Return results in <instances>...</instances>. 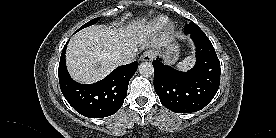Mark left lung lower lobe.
I'll return each instance as SVG.
<instances>
[{
	"instance_id": "1",
	"label": "left lung lower lobe",
	"mask_w": 276,
	"mask_h": 138,
	"mask_svg": "<svg viewBox=\"0 0 276 138\" xmlns=\"http://www.w3.org/2000/svg\"><path fill=\"white\" fill-rule=\"evenodd\" d=\"M196 46V65L180 72L164 65L160 59L152 62L154 89L161 103L175 113H192L203 109L215 96L220 85V61L204 34L189 33Z\"/></svg>"
}]
</instances>
